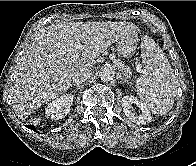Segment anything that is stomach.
Returning a JSON list of instances; mask_svg holds the SVG:
<instances>
[{"label": "stomach", "mask_w": 196, "mask_h": 166, "mask_svg": "<svg viewBox=\"0 0 196 166\" xmlns=\"http://www.w3.org/2000/svg\"><path fill=\"white\" fill-rule=\"evenodd\" d=\"M137 34L128 33L119 39L117 43V51L123 57L133 56L137 48Z\"/></svg>", "instance_id": "1"}]
</instances>
